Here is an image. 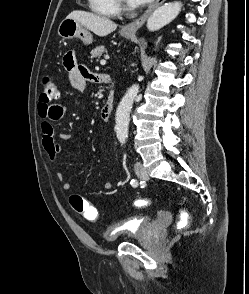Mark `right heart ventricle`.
I'll return each instance as SVG.
<instances>
[{"label":"right heart ventricle","instance_id":"obj_1","mask_svg":"<svg viewBox=\"0 0 249 294\" xmlns=\"http://www.w3.org/2000/svg\"><path fill=\"white\" fill-rule=\"evenodd\" d=\"M93 12L98 15L114 17L120 13L117 0H88Z\"/></svg>","mask_w":249,"mask_h":294}]
</instances>
